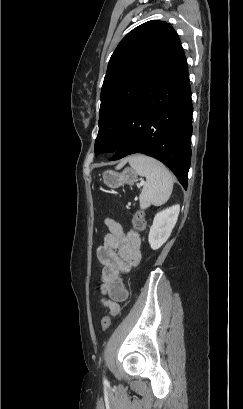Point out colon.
<instances>
[{
    "label": "colon",
    "instance_id": "colon-1",
    "mask_svg": "<svg viewBox=\"0 0 243 409\" xmlns=\"http://www.w3.org/2000/svg\"><path fill=\"white\" fill-rule=\"evenodd\" d=\"M135 225L138 228H143L145 226L144 220V211L138 210L135 213ZM111 317L109 314H106L101 320V329L102 331H107L111 326Z\"/></svg>",
    "mask_w": 243,
    "mask_h": 409
}]
</instances>
